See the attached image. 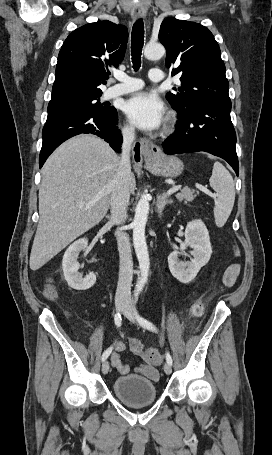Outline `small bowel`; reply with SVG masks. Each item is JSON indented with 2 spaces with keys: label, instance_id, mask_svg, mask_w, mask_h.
Here are the masks:
<instances>
[{
  "label": "small bowel",
  "instance_id": "obj_1",
  "mask_svg": "<svg viewBox=\"0 0 272 455\" xmlns=\"http://www.w3.org/2000/svg\"><path fill=\"white\" fill-rule=\"evenodd\" d=\"M238 255L239 252L236 251ZM240 274V265L237 263L230 264L222 277V285L224 287H232L238 279ZM126 346L123 342H117L115 346V351L111 354V363L114 368L122 375H125L130 372L129 364L124 361L121 357V354L125 351ZM130 350L134 355L146 357V354L143 351V345L141 341L137 338L132 337L130 339ZM135 371L145 377L156 381L158 379L159 373L158 370L150 364H138L135 367Z\"/></svg>",
  "mask_w": 272,
  "mask_h": 455
}]
</instances>
